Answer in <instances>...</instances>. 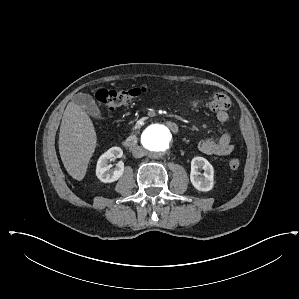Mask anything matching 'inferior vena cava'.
Segmentation results:
<instances>
[{"label": "inferior vena cava", "mask_w": 299, "mask_h": 299, "mask_svg": "<svg viewBox=\"0 0 299 299\" xmlns=\"http://www.w3.org/2000/svg\"><path fill=\"white\" fill-rule=\"evenodd\" d=\"M132 155L135 157V158H141L145 155V151L142 147L140 146H135L132 148Z\"/></svg>", "instance_id": "1"}]
</instances>
